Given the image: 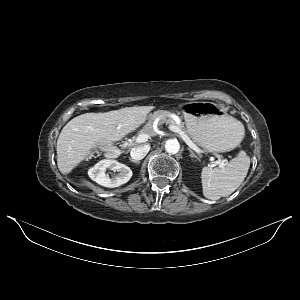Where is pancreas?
<instances>
[{
  "label": "pancreas",
  "instance_id": "pancreas-1",
  "mask_svg": "<svg viewBox=\"0 0 300 300\" xmlns=\"http://www.w3.org/2000/svg\"><path fill=\"white\" fill-rule=\"evenodd\" d=\"M164 115H166V112L162 111L161 114L158 116V117H161L160 120H159V124H164L165 123V124L177 126L183 132H185L186 134H188L183 124L177 125V123L172 118L166 117ZM154 120H150L147 123V125L140 131V133H145L147 135H154V131L152 129V124H153Z\"/></svg>",
  "mask_w": 300,
  "mask_h": 300
}]
</instances>
